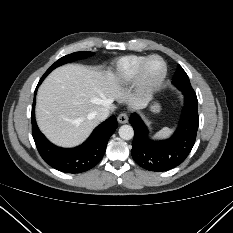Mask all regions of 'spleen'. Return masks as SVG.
I'll return each mask as SVG.
<instances>
[{"mask_svg": "<svg viewBox=\"0 0 233 233\" xmlns=\"http://www.w3.org/2000/svg\"><path fill=\"white\" fill-rule=\"evenodd\" d=\"M173 133V129L168 127L162 128L159 132L155 134V138H167Z\"/></svg>", "mask_w": 233, "mask_h": 233, "instance_id": "3e777b00", "label": "spleen"}]
</instances>
